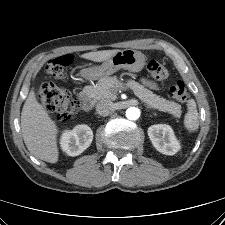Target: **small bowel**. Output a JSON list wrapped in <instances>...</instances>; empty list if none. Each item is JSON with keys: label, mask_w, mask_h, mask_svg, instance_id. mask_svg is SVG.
<instances>
[{"label": "small bowel", "mask_w": 225, "mask_h": 225, "mask_svg": "<svg viewBox=\"0 0 225 225\" xmlns=\"http://www.w3.org/2000/svg\"><path fill=\"white\" fill-rule=\"evenodd\" d=\"M143 83L150 88H156V84L150 80L144 79Z\"/></svg>", "instance_id": "small-bowel-1"}]
</instances>
